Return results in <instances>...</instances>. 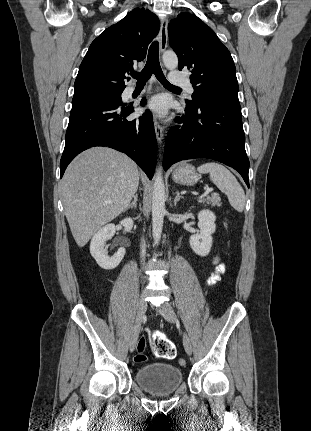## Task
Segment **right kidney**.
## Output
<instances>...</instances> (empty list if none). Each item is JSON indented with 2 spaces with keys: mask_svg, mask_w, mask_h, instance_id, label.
Instances as JSON below:
<instances>
[{
  "mask_svg": "<svg viewBox=\"0 0 311 431\" xmlns=\"http://www.w3.org/2000/svg\"><path fill=\"white\" fill-rule=\"evenodd\" d=\"M120 223L123 225L124 231H131L133 227L132 217H125ZM115 229L114 223H107L97 233H94L90 241V253L103 269H114L125 255V247H119L114 255H108L107 249L104 247L107 239H110L111 235H114Z\"/></svg>",
  "mask_w": 311,
  "mask_h": 431,
  "instance_id": "obj_1",
  "label": "right kidney"
}]
</instances>
